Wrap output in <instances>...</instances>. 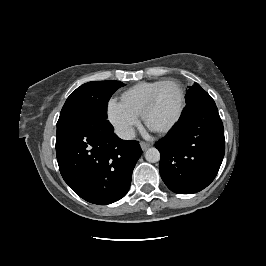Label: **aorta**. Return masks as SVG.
<instances>
[{
    "label": "aorta",
    "instance_id": "1",
    "mask_svg": "<svg viewBox=\"0 0 266 266\" xmlns=\"http://www.w3.org/2000/svg\"><path fill=\"white\" fill-rule=\"evenodd\" d=\"M145 159L148 161V162H151V163H156L160 160V153L158 151V149L152 147V148H149L146 152H145Z\"/></svg>",
    "mask_w": 266,
    "mask_h": 266
}]
</instances>
